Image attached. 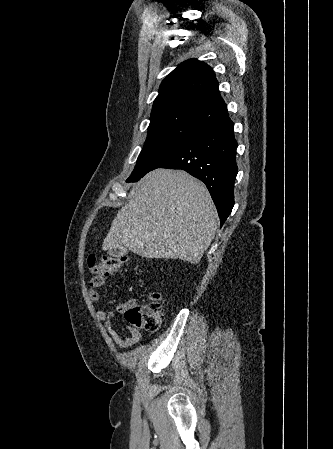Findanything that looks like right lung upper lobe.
Here are the masks:
<instances>
[{"label":"right lung upper lobe","instance_id":"cb5924a9","mask_svg":"<svg viewBox=\"0 0 333 449\" xmlns=\"http://www.w3.org/2000/svg\"><path fill=\"white\" fill-rule=\"evenodd\" d=\"M228 116L218 82L210 66L197 59L177 66L161 83L148 132L171 124L201 129Z\"/></svg>","mask_w":333,"mask_h":449}]
</instances>
